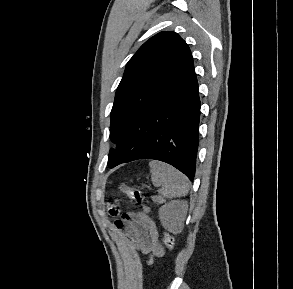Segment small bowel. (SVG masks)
Here are the masks:
<instances>
[{
  "instance_id": "c3829d8e",
  "label": "small bowel",
  "mask_w": 293,
  "mask_h": 289,
  "mask_svg": "<svg viewBox=\"0 0 293 289\" xmlns=\"http://www.w3.org/2000/svg\"><path fill=\"white\" fill-rule=\"evenodd\" d=\"M115 222L116 227L130 239L136 249L147 256L148 265L153 263L155 257L164 255L158 228L147 207L142 211L129 212Z\"/></svg>"
}]
</instances>
